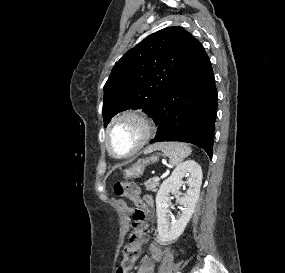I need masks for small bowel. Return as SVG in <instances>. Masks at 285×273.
I'll list each match as a JSON object with an SVG mask.
<instances>
[{
  "mask_svg": "<svg viewBox=\"0 0 285 273\" xmlns=\"http://www.w3.org/2000/svg\"><path fill=\"white\" fill-rule=\"evenodd\" d=\"M141 199L143 201H146L149 205V210L153 207L154 205V199L150 195H145ZM149 256H144L140 262V265L138 266L136 273H155V264L156 262L160 261L162 259V249L161 246L156 243L152 242L149 245Z\"/></svg>",
  "mask_w": 285,
  "mask_h": 273,
  "instance_id": "c3829d8e",
  "label": "small bowel"
}]
</instances>
